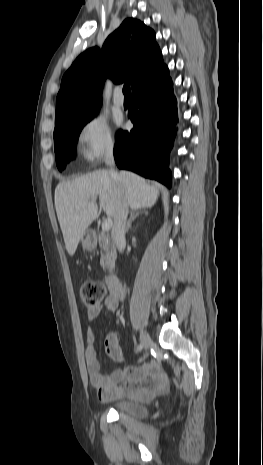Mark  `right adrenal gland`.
<instances>
[{
  "instance_id": "1",
  "label": "right adrenal gland",
  "mask_w": 263,
  "mask_h": 465,
  "mask_svg": "<svg viewBox=\"0 0 263 465\" xmlns=\"http://www.w3.org/2000/svg\"><path fill=\"white\" fill-rule=\"evenodd\" d=\"M143 213H144V215H147V211H143V212H142V211H141V212H140V211H139V212L137 211V212H132V213L130 214V218H129V220H128V222H127V225H126V232L129 231V229H130L131 226H132V223L139 217V215H140V214H143Z\"/></svg>"
}]
</instances>
